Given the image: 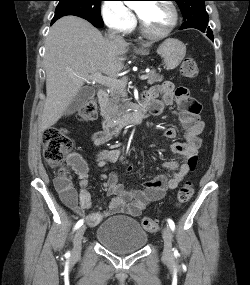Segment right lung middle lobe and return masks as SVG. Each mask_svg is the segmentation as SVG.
Instances as JSON below:
<instances>
[{
    "label": "right lung middle lobe",
    "mask_w": 250,
    "mask_h": 285,
    "mask_svg": "<svg viewBox=\"0 0 250 285\" xmlns=\"http://www.w3.org/2000/svg\"><path fill=\"white\" fill-rule=\"evenodd\" d=\"M59 4L56 8L52 23L57 19L74 15L88 20L94 25L103 26L100 13V3L103 0H57Z\"/></svg>",
    "instance_id": "obj_1"
}]
</instances>
